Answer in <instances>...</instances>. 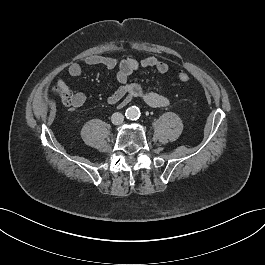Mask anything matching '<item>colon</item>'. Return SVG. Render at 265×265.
Instances as JSON below:
<instances>
[{
    "mask_svg": "<svg viewBox=\"0 0 265 265\" xmlns=\"http://www.w3.org/2000/svg\"><path fill=\"white\" fill-rule=\"evenodd\" d=\"M178 79L182 83H188L190 81V75L186 72L181 71L178 73ZM61 96L65 104L71 103V97L67 91H62Z\"/></svg>",
    "mask_w": 265,
    "mask_h": 265,
    "instance_id": "1",
    "label": "colon"
}]
</instances>
